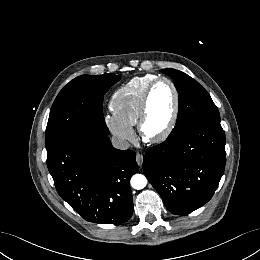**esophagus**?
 <instances>
[{
  "mask_svg": "<svg viewBox=\"0 0 260 260\" xmlns=\"http://www.w3.org/2000/svg\"><path fill=\"white\" fill-rule=\"evenodd\" d=\"M136 162L139 166H142L143 164V155L140 153L136 154Z\"/></svg>",
  "mask_w": 260,
  "mask_h": 260,
  "instance_id": "esophagus-1",
  "label": "esophagus"
}]
</instances>
